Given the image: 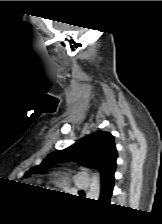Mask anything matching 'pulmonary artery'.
I'll list each match as a JSON object with an SVG mask.
<instances>
[{
    "mask_svg": "<svg viewBox=\"0 0 162 224\" xmlns=\"http://www.w3.org/2000/svg\"><path fill=\"white\" fill-rule=\"evenodd\" d=\"M74 186L78 189H85L89 187V177L85 173H77L74 176Z\"/></svg>",
    "mask_w": 162,
    "mask_h": 224,
    "instance_id": "obj_1",
    "label": "pulmonary artery"
}]
</instances>
